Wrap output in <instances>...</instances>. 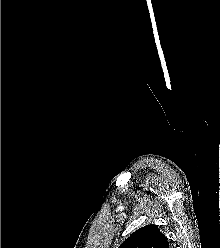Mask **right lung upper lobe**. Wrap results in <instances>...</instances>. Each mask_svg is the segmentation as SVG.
<instances>
[{"label": "right lung upper lobe", "instance_id": "right-lung-upper-lobe-1", "mask_svg": "<svg viewBox=\"0 0 220 248\" xmlns=\"http://www.w3.org/2000/svg\"><path fill=\"white\" fill-rule=\"evenodd\" d=\"M118 248H169V243L157 226L151 224L131 234Z\"/></svg>", "mask_w": 220, "mask_h": 248}]
</instances>
